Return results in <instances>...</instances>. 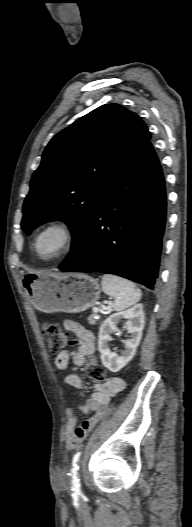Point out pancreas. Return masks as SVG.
Masks as SVG:
<instances>
[{"mask_svg": "<svg viewBox=\"0 0 192 527\" xmlns=\"http://www.w3.org/2000/svg\"><path fill=\"white\" fill-rule=\"evenodd\" d=\"M96 313L94 312L92 315L88 317V321L90 324H95L98 320L96 319Z\"/></svg>", "mask_w": 192, "mask_h": 527, "instance_id": "pancreas-1", "label": "pancreas"}]
</instances>
